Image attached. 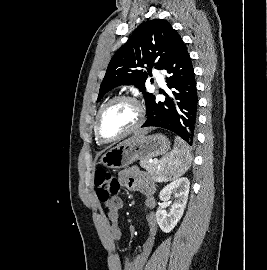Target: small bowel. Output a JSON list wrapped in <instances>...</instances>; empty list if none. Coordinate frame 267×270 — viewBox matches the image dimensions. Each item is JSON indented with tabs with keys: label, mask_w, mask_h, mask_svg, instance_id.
Segmentation results:
<instances>
[{
	"label": "small bowel",
	"mask_w": 267,
	"mask_h": 270,
	"mask_svg": "<svg viewBox=\"0 0 267 270\" xmlns=\"http://www.w3.org/2000/svg\"><path fill=\"white\" fill-rule=\"evenodd\" d=\"M120 181L123 186L130 190L141 192L145 196V206L153 209L156 206V187L151 179L137 167H130L120 173ZM109 220V235L112 241H119L122 238V231L119 226V210L122 207V200L115 196L105 202ZM148 235L140 252L133 258L128 256L116 257L115 264L119 270H142L154 247L157 234V221L155 214L149 212L146 215Z\"/></svg>",
	"instance_id": "obj_1"
}]
</instances>
